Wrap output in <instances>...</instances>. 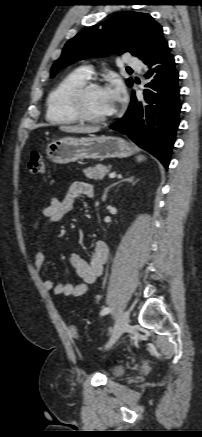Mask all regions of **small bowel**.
I'll use <instances>...</instances> for the list:
<instances>
[{
	"label": "small bowel",
	"instance_id": "1",
	"mask_svg": "<svg viewBox=\"0 0 202 437\" xmlns=\"http://www.w3.org/2000/svg\"><path fill=\"white\" fill-rule=\"evenodd\" d=\"M94 194L93 186L90 183L79 181L73 183L63 199L52 197L49 204L41 209L33 228L38 232L41 219L47 224L59 221L64 215L74 211L75 201L78 197H92ZM108 247L103 241H97L94 244L93 254L90 260H86L81 254L73 252L70 255V264L80 278V282L55 283L52 279H46L43 282V288L46 291H53L56 295L81 296L85 294L91 284L101 275L103 266L107 260ZM45 262L43 250L37 246L34 266L39 273Z\"/></svg>",
	"mask_w": 202,
	"mask_h": 437
}]
</instances>
